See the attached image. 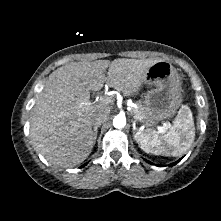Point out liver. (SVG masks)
<instances>
[{"label":"liver","mask_w":221,"mask_h":221,"mask_svg":"<svg viewBox=\"0 0 221 221\" xmlns=\"http://www.w3.org/2000/svg\"><path fill=\"white\" fill-rule=\"evenodd\" d=\"M157 61L72 62L52 72L32 109L30 136L35 147L53 165L74 167L83 162L95 144L93 113L111 111L104 100L91 103L90 91H99L107 83L125 96L136 94Z\"/></svg>","instance_id":"liver-1"}]
</instances>
